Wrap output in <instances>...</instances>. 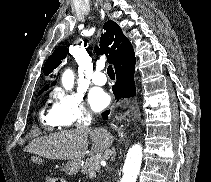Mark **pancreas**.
I'll list each match as a JSON object with an SVG mask.
<instances>
[{
    "label": "pancreas",
    "mask_w": 211,
    "mask_h": 182,
    "mask_svg": "<svg viewBox=\"0 0 211 182\" xmlns=\"http://www.w3.org/2000/svg\"><path fill=\"white\" fill-rule=\"evenodd\" d=\"M107 158L106 153H99L93 155L86 160L85 164L81 168V173L89 176L90 179L95 177V171L100 169V161ZM94 172V174H92Z\"/></svg>",
    "instance_id": "1"
}]
</instances>
